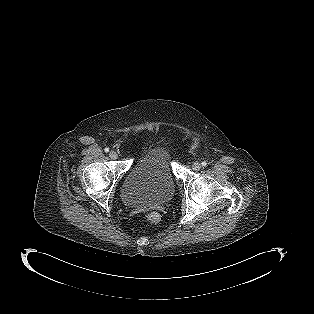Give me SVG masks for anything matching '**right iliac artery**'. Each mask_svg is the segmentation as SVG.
Wrapping results in <instances>:
<instances>
[{
  "label": "right iliac artery",
  "instance_id": "82829eb1",
  "mask_svg": "<svg viewBox=\"0 0 314 314\" xmlns=\"http://www.w3.org/2000/svg\"><path fill=\"white\" fill-rule=\"evenodd\" d=\"M104 151H105V152H109V148L106 147V148L104 149Z\"/></svg>",
  "mask_w": 314,
  "mask_h": 314
}]
</instances>
